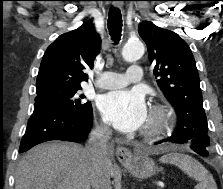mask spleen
Masks as SVG:
<instances>
[{"instance_id": "obj_1", "label": "spleen", "mask_w": 223, "mask_h": 189, "mask_svg": "<svg viewBox=\"0 0 223 189\" xmlns=\"http://www.w3.org/2000/svg\"><path fill=\"white\" fill-rule=\"evenodd\" d=\"M160 162L177 166L189 177L198 181L195 189H217L213 176L194 158L180 153H169L160 158Z\"/></svg>"}]
</instances>
